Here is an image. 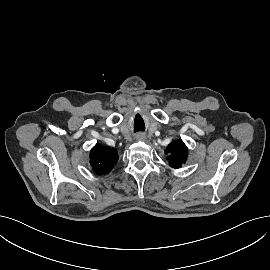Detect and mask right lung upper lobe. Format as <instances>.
Listing matches in <instances>:
<instances>
[{"instance_id":"right-lung-upper-lobe-1","label":"right lung upper lobe","mask_w":270,"mask_h":270,"mask_svg":"<svg viewBox=\"0 0 270 270\" xmlns=\"http://www.w3.org/2000/svg\"><path fill=\"white\" fill-rule=\"evenodd\" d=\"M117 161L118 154L114 148L96 144L90 151V164L98 175L108 173Z\"/></svg>"}]
</instances>
